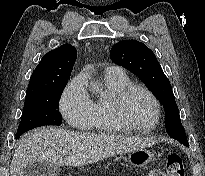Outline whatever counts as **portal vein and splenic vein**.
Wrapping results in <instances>:
<instances>
[{"instance_id": "18ae733b", "label": "portal vein and splenic vein", "mask_w": 205, "mask_h": 176, "mask_svg": "<svg viewBox=\"0 0 205 176\" xmlns=\"http://www.w3.org/2000/svg\"><path fill=\"white\" fill-rule=\"evenodd\" d=\"M62 153L67 154L68 152L67 151H63Z\"/></svg>"}]
</instances>
